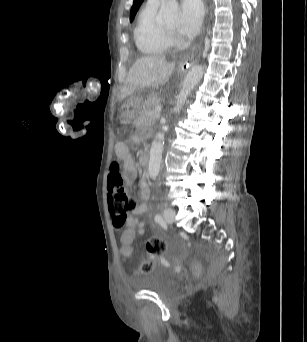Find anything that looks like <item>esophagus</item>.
I'll list each match as a JSON object with an SVG mask.
<instances>
[{
	"label": "esophagus",
	"instance_id": "esophagus-1",
	"mask_svg": "<svg viewBox=\"0 0 307 342\" xmlns=\"http://www.w3.org/2000/svg\"><path fill=\"white\" fill-rule=\"evenodd\" d=\"M201 54V45H197L194 50L183 58V61L192 65L196 63Z\"/></svg>",
	"mask_w": 307,
	"mask_h": 342
}]
</instances>
